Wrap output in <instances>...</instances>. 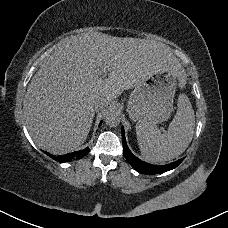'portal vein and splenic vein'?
<instances>
[{"instance_id":"1","label":"portal vein and splenic vein","mask_w":228,"mask_h":228,"mask_svg":"<svg viewBox=\"0 0 228 228\" xmlns=\"http://www.w3.org/2000/svg\"><path fill=\"white\" fill-rule=\"evenodd\" d=\"M102 74H103V75H104V74H105V75L107 74L106 68H103V69H102Z\"/></svg>"}]
</instances>
